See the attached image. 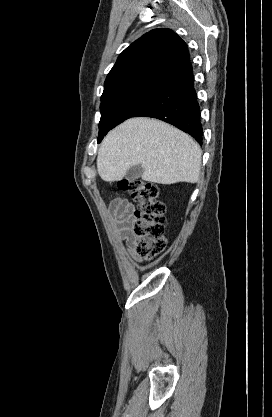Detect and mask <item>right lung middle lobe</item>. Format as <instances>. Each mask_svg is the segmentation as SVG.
I'll return each instance as SVG.
<instances>
[{
	"label": "right lung middle lobe",
	"mask_w": 272,
	"mask_h": 417,
	"mask_svg": "<svg viewBox=\"0 0 272 417\" xmlns=\"http://www.w3.org/2000/svg\"><path fill=\"white\" fill-rule=\"evenodd\" d=\"M160 88L157 86L128 88L101 99L98 143L109 130L124 120L134 117Z\"/></svg>",
	"instance_id": "right-lung-middle-lobe-1"
}]
</instances>
